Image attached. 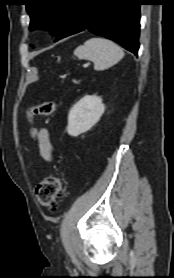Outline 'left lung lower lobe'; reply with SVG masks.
I'll return each mask as SVG.
<instances>
[{
    "label": "left lung lower lobe",
    "instance_id": "0a47b994",
    "mask_svg": "<svg viewBox=\"0 0 174 278\" xmlns=\"http://www.w3.org/2000/svg\"><path fill=\"white\" fill-rule=\"evenodd\" d=\"M140 5L141 0H79L76 11L55 41L88 29L137 55Z\"/></svg>",
    "mask_w": 174,
    "mask_h": 278
}]
</instances>
